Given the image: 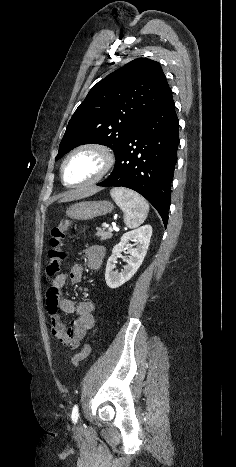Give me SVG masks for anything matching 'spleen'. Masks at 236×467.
Instances as JSON below:
<instances>
[{
  "label": "spleen",
  "instance_id": "3e777b00",
  "mask_svg": "<svg viewBox=\"0 0 236 467\" xmlns=\"http://www.w3.org/2000/svg\"><path fill=\"white\" fill-rule=\"evenodd\" d=\"M110 195L124 212V222L128 228H137L146 219L149 205L138 193L126 188H113Z\"/></svg>",
  "mask_w": 236,
  "mask_h": 467
}]
</instances>
